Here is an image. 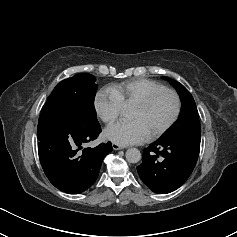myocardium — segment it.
I'll return each instance as SVG.
<instances>
[{
    "mask_svg": "<svg viewBox=\"0 0 237 237\" xmlns=\"http://www.w3.org/2000/svg\"><path fill=\"white\" fill-rule=\"evenodd\" d=\"M162 94H170L173 96V98L175 100V111H174L172 117L164 125H162L160 128H158L155 132H153L149 136L150 140H154V139L160 137L161 135H163L178 120L180 113H181V107H182L180 96L175 90H173L171 88H162V89H159V90H156V91L150 93L143 99H141L133 104V106H137L141 109H147Z\"/></svg>",
    "mask_w": 237,
    "mask_h": 237,
    "instance_id": "f54148a6",
    "label": "myocardium"
}]
</instances>
